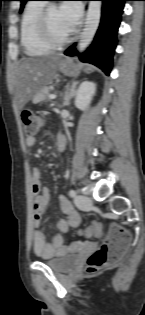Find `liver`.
I'll return each instance as SVG.
<instances>
[{
    "label": "liver",
    "instance_id": "liver-1",
    "mask_svg": "<svg viewBox=\"0 0 145 315\" xmlns=\"http://www.w3.org/2000/svg\"><path fill=\"white\" fill-rule=\"evenodd\" d=\"M62 54L40 58H24L19 66L16 80L14 107L20 110L48 84L52 82L59 67Z\"/></svg>",
    "mask_w": 145,
    "mask_h": 315
}]
</instances>
